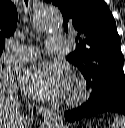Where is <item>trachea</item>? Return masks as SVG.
I'll return each mask as SVG.
<instances>
[{
	"mask_svg": "<svg viewBox=\"0 0 125 128\" xmlns=\"http://www.w3.org/2000/svg\"><path fill=\"white\" fill-rule=\"evenodd\" d=\"M25 3H26V6H27V4H28V0H25Z\"/></svg>",
	"mask_w": 125,
	"mask_h": 128,
	"instance_id": "1",
	"label": "trachea"
}]
</instances>
